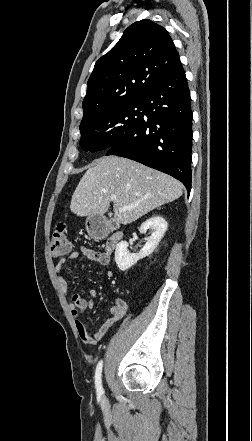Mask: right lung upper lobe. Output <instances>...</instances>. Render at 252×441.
Segmentation results:
<instances>
[{"mask_svg": "<svg viewBox=\"0 0 252 441\" xmlns=\"http://www.w3.org/2000/svg\"><path fill=\"white\" fill-rule=\"evenodd\" d=\"M179 62L165 28L149 19L135 22L96 62L83 100L82 122L102 111L141 100Z\"/></svg>", "mask_w": 252, "mask_h": 441, "instance_id": "obj_1", "label": "right lung upper lobe"}]
</instances>
